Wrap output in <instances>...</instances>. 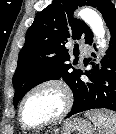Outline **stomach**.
Returning <instances> with one entry per match:
<instances>
[{"label":"stomach","instance_id":"1","mask_svg":"<svg viewBox=\"0 0 116 134\" xmlns=\"http://www.w3.org/2000/svg\"><path fill=\"white\" fill-rule=\"evenodd\" d=\"M53 134H92V126L86 119L73 118L63 124L60 132Z\"/></svg>","mask_w":116,"mask_h":134}]
</instances>
